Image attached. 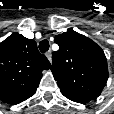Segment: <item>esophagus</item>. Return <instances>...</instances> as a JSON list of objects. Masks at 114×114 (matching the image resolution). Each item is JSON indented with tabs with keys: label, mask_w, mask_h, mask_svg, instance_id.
I'll return each mask as SVG.
<instances>
[{
	"label": "esophagus",
	"mask_w": 114,
	"mask_h": 114,
	"mask_svg": "<svg viewBox=\"0 0 114 114\" xmlns=\"http://www.w3.org/2000/svg\"><path fill=\"white\" fill-rule=\"evenodd\" d=\"M46 57L48 58V60H49L50 62H52V54H51V51H48V52L46 53Z\"/></svg>",
	"instance_id": "esophagus-1"
}]
</instances>
